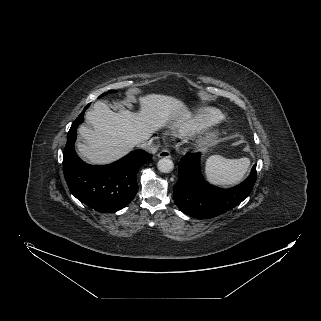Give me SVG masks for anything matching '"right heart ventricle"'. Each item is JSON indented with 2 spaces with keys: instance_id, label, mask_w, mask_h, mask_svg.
I'll list each match as a JSON object with an SVG mask.
<instances>
[{
  "instance_id": "right-heart-ventricle-1",
  "label": "right heart ventricle",
  "mask_w": 321,
  "mask_h": 321,
  "mask_svg": "<svg viewBox=\"0 0 321 321\" xmlns=\"http://www.w3.org/2000/svg\"><path fill=\"white\" fill-rule=\"evenodd\" d=\"M224 115L215 108H203L193 114L182 118L175 126V131L180 136L195 133L209 125L223 120Z\"/></svg>"
}]
</instances>
